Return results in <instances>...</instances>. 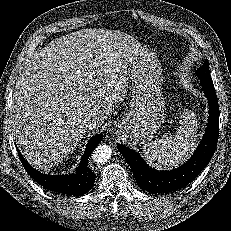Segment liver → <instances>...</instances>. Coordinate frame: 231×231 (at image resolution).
Listing matches in <instances>:
<instances>
[{
    "instance_id": "liver-1",
    "label": "liver",
    "mask_w": 231,
    "mask_h": 231,
    "mask_svg": "<svg viewBox=\"0 0 231 231\" xmlns=\"http://www.w3.org/2000/svg\"><path fill=\"white\" fill-rule=\"evenodd\" d=\"M130 35L82 29L51 41L25 66L16 82L11 123L26 160L48 170L75 149L90 130L123 101L127 62L141 52Z\"/></svg>"
}]
</instances>
